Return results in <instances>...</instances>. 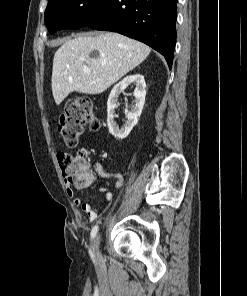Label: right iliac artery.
Returning <instances> with one entry per match:
<instances>
[{"mask_svg":"<svg viewBox=\"0 0 247 296\" xmlns=\"http://www.w3.org/2000/svg\"><path fill=\"white\" fill-rule=\"evenodd\" d=\"M97 232H98V225H95L91 231V239H93L96 236ZM89 253H90L91 258L94 259V253L91 248L89 250Z\"/></svg>","mask_w":247,"mask_h":296,"instance_id":"82829eb1","label":"right iliac artery"}]
</instances>
